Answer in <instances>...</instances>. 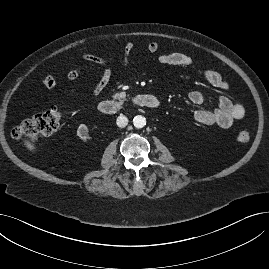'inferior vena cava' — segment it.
I'll return each mask as SVG.
<instances>
[{"instance_id":"1","label":"inferior vena cava","mask_w":269,"mask_h":269,"mask_svg":"<svg viewBox=\"0 0 269 269\" xmlns=\"http://www.w3.org/2000/svg\"><path fill=\"white\" fill-rule=\"evenodd\" d=\"M116 124L118 127L123 128V127L127 126L128 118L124 115H120L116 120Z\"/></svg>"}]
</instances>
